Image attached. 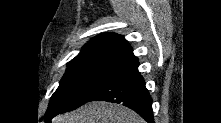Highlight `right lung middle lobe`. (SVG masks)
<instances>
[{
	"label": "right lung middle lobe",
	"mask_w": 221,
	"mask_h": 123,
	"mask_svg": "<svg viewBox=\"0 0 221 123\" xmlns=\"http://www.w3.org/2000/svg\"><path fill=\"white\" fill-rule=\"evenodd\" d=\"M130 59L108 51H81L69 62L46 113H63L85 104L94 89Z\"/></svg>",
	"instance_id": "right-lung-middle-lobe-1"
}]
</instances>
